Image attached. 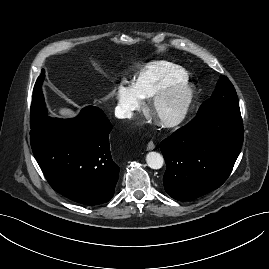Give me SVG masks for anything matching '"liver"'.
Instances as JSON below:
<instances>
[{
  "label": "liver",
  "mask_w": 269,
  "mask_h": 269,
  "mask_svg": "<svg viewBox=\"0 0 269 269\" xmlns=\"http://www.w3.org/2000/svg\"><path fill=\"white\" fill-rule=\"evenodd\" d=\"M59 115L64 117V118H73L75 116H77V113L75 111H73L72 109L69 108H60L58 111Z\"/></svg>",
  "instance_id": "1"
}]
</instances>
